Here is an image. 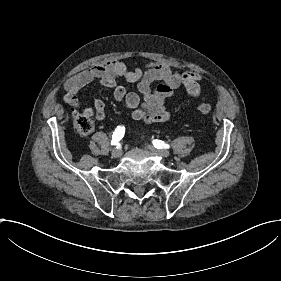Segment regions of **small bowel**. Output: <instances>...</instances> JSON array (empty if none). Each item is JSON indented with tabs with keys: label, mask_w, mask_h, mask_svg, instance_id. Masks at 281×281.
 Segmentation results:
<instances>
[{
	"label": "small bowel",
	"mask_w": 281,
	"mask_h": 281,
	"mask_svg": "<svg viewBox=\"0 0 281 281\" xmlns=\"http://www.w3.org/2000/svg\"><path fill=\"white\" fill-rule=\"evenodd\" d=\"M120 79L138 83L143 95L142 102L138 94L128 92L123 86L118 85ZM156 81H160L161 85L152 91L150 85ZM200 81L201 75L198 72L188 71L179 74L157 61L149 62L145 69L130 68L122 61H107L69 79L64 85V98L75 109H79L80 91L87 85L97 82L112 88L113 98L118 102H124L134 119L147 123H164L170 117L165 108V101L180 87L193 98L201 97ZM93 106L95 111L86 108L84 112L89 116L95 112L96 118L101 120L106 111L105 102L95 98Z\"/></svg>",
	"instance_id": "c3829d8e"
}]
</instances>
